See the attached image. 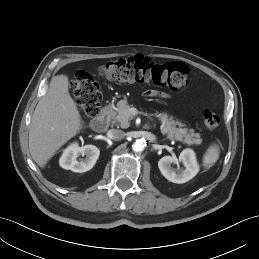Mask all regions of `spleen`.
<instances>
[{
    "instance_id": "obj_1",
    "label": "spleen",
    "mask_w": 259,
    "mask_h": 259,
    "mask_svg": "<svg viewBox=\"0 0 259 259\" xmlns=\"http://www.w3.org/2000/svg\"><path fill=\"white\" fill-rule=\"evenodd\" d=\"M220 155V147L217 144H212L205 152L203 156V166L206 168L212 167Z\"/></svg>"
}]
</instances>
